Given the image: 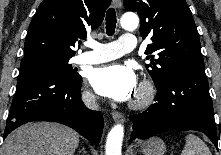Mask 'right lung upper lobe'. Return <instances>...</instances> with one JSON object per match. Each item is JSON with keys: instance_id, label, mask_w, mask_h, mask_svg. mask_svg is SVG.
<instances>
[{"instance_id": "cb5924a9", "label": "right lung upper lobe", "mask_w": 221, "mask_h": 155, "mask_svg": "<svg viewBox=\"0 0 221 155\" xmlns=\"http://www.w3.org/2000/svg\"><path fill=\"white\" fill-rule=\"evenodd\" d=\"M111 0H43L28 28L24 56L50 53L73 57L77 40L103 21Z\"/></svg>"}]
</instances>
